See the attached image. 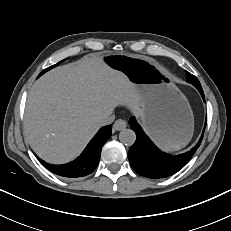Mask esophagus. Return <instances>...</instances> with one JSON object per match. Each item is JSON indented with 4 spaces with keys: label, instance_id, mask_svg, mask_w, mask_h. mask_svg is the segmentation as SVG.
Instances as JSON below:
<instances>
[{
    "label": "esophagus",
    "instance_id": "1",
    "mask_svg": "<svg viewBox=\"0 0 231 231\" xmlns=\"http://www.w3.org/2000/svg\"><path fill=\"white\" fill-rule=\"evenodd\" d=\"M127 126V122L123 119H117L113 124V131H121Z\"/></svg>",
    "mask_w": 231,
    "mask_h": 231
}]
</instances>
